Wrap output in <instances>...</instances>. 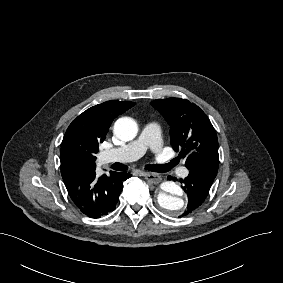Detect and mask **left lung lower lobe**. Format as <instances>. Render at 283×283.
Here are the masks:
<instances>
[{
    "instance_id": "0a47b994",
    "label": "left lung lower lobe",
    "mask_w": 283,
    "mask_h": 283,
    "mask_svg": "<svg viewBox=\"0 0 283 283\" xmlns=\"http://www.w3.org/2000/svg\"><path fill=\"white\" fill-rule=\"evenodd\" d=\"M217 171L209 168L190 169L189 175L181 181L183 190L188 195V204L182 216L197 210L205 201Z\"/></svg>"
}]
</instances>
